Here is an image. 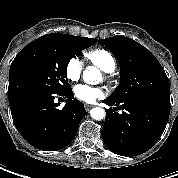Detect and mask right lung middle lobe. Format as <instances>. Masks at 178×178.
Here are the masks:
<instances>
[{"label": "right lung middle lobe", "instance_id": "obj_1", "mask_svg": "<svg viewBox=\"0 0 178 178\" xmlns=\"http://www.w3.org/2000/svg\"><path fill=\"white\" fill-rule=\"evenodd\" d=\"M96 42L97 40L87 37L51 35L30 42L11 63L8 92H62L70 89L66 80L70 59Z\"/></svg>", "mask_w": 178, "mask_h": 178}]
</instances>
